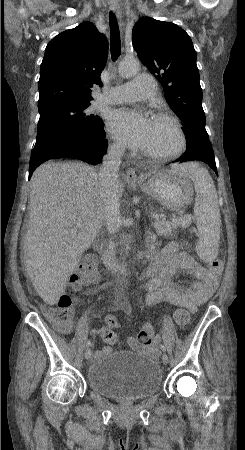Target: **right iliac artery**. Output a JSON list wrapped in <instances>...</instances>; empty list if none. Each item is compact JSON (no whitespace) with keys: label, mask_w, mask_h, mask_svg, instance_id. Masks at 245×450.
Segmentation results:
<instances>
[{"label":"right iliac artery","mask_w":245,"mask_h":450,"mask_svg":"<svg viewBox=\"0 0 245 450\" xmlns=\"http://www.w3.org/2000/svg\"><path fill=\"white\" fill-rule=\"evenodd\" d=\"M90 345H91V341L88 340L87 343H86V347H89Z\"/></svg>","instance_id":"right-iliac-artery-1"}]
</instances>
